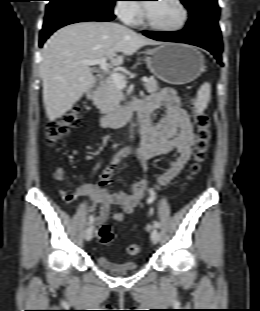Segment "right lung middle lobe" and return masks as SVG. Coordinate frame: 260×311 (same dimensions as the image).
I'll use <instances>...</instances> for the list:
<instances>
[{
    "instance_id": "dd1d6c3e",
    "label": "right lung middle lobe",
    "mask_w": 260,
    "mask_h": 311,
    "mask_svg": "<svg viewBox=\"0 0 260 311\" xmlns=\"http://www.w3.org/2000/svg\"><path fill=\"white\" fill-rule=\"evenodd\" d=\"M108 13H113V5L116 0H81Z\"/></svg>"
}]
</instances>
